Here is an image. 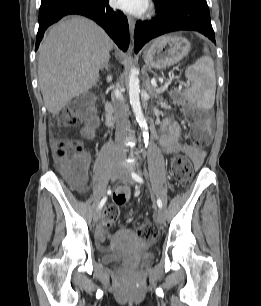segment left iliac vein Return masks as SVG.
<instances>
[{
    "mask_svg": "<svg viewBox=\"0 0 261 306\" xmlns=\"http://www.w3.org/2000/svg\"><path fill=\"white\" fill-rule=\"evenodd\" d=\"M122 181L129 183V184H134V180L131 177V174L128 170L125 168H122L119 176H118ZM155 219L158 223L162 224L164 222V212L161 209H158L155 214Z\"/></svg>",
    "mask_w": 261,
    "mask_h": 306,
    "instance_id": "1",
    "label": "left iliac vein"
}]
</instances>
